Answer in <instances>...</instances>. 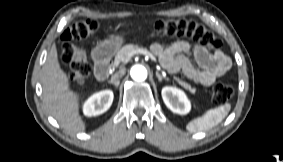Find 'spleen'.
Masks as SVG:
<instances>
[{"label": "spleen", "instance_id": "3e777b00", "mask_svg": "<svg viewBox=\"0 0 283 162\" xmlns=\"http://www.w3.org/2000/svg\"><path fill=\"white\" fill-rule=\"evenodd\" d=\"M230 104H224L208 110L201 117L195 118L186 125L189 132L206 131L218 125L229 113Z\"/></svg>", "mask_w": 283, "mask_h": 162}]
</instances>
